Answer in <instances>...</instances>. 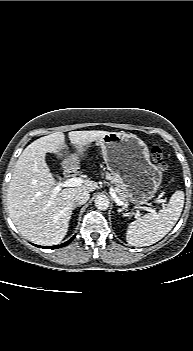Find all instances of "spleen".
<instances>
[{
    "mask_svg": "<svg viewBox=\"0 0 193 351\" xmlns=\"http://www.w3.org/2000/svg\"><path fill=\"white\" fill-rule=\"evenodd\" d=\"M184 206V192L175 191L168 204L158 212L151 211L130 223L126 240L130 245L142 247L161 240L176 224Z\"/></svg>",
    "mask_w": 193,
    "mask_h": 351,
    "instance_id": "1",
    "label": "spleen"
}]
</instances>
